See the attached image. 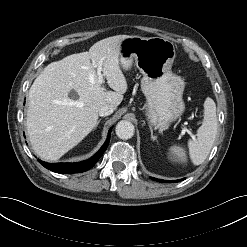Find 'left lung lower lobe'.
Masks as SVG:
<instances>
[{
    "label": "left lung lower lobe",
    "instance_id": "left-lung-lower-lobe-1",
    "mask_svg": "<svg viewBox=\"0 0 247 247\" xmlns=\"http://www.w3.org/2000/svg\"><path fill=\"white\" fill-rule=\"evenodd\" d=\"M153 180H157L159 182H166V183H172V182H179L180 180H162V179H155V178H152Z\"/></svg>",
    "mask_w": 247,
    "mask_h": 247
}]
</instances>
